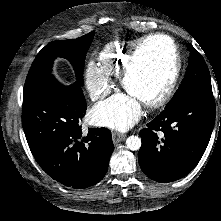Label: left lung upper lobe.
Masks as SVG:
<instances>
[{"instance_id":"left-lung-upper-lobe-1","label":"left lung upper lobe","mask_w":221,"mask_h":221,"mask_svg":"<svg viewBox=\"0 0 221 221\" xmlns=\"http://www.w3.org/2000/svg\"><path fill=\"white\" fill-rule=\"evenodd\" d=\"M187 46L190 51V57L186 74L180 87L165 108L177 104L192 92L212 94L210 74L203 57L191 44H187Z\"/></svg>"}]
</instances>
